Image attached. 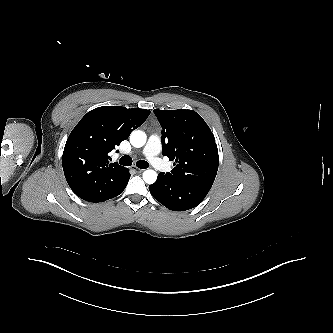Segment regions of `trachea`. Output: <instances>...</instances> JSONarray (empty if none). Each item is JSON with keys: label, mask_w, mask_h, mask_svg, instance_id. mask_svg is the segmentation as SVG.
<instances>
[{"label": "trachea", "mask_w": 333, "mask_h": 333, "mask_svg": "<svg viewBox=\"0 0 333 333\" xmlns=\"http://www.w3.org/2000/svg\"><path fill=\"white\" fill-rule=\"evenodd\" d=\"M119 163L124 166H131L132 165V158L128 155L123 156L120 158ZM136 166L139 167L140 169H146L149 167V163L144 161V160H139L136 163Z\"/></svg>", "instance_id": "trachea-1"}]
</instances>
